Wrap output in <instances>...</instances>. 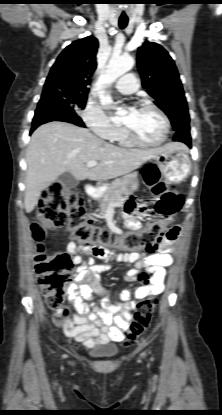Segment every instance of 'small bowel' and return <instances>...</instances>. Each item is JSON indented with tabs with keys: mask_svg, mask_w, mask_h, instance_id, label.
<instances>
[{
	"mask_svg": "<svg viewBox=\"0 0 222 415\" xmlns=\"http://www.w3.org/2000/svg\"><path fill=\"white\" fill-rule=\"evenodd\" d=\"M126 213L127 226L138 229L140 223L133 217V204L126 207ZM180 232L179 225L170 228L158 245L157 253L107 254V258L131 266L125 274L128 283L135 282L143 273L148 275V281L135 289L126 288L118 293H107L100 306L93 301L94 292L101 291L96 283L97 277L100 273L108 271L111 266L95 263V258L99 254L69 242L67 251L73 255L78 267L74 274V282L68 288L69 304L54 312V323L61 328L65 336L88 348L123 341L131 312L135 308L134 299L157 296L163 292L166 268L173 263L170 255L172 244ZM86 254L92 256L84 262L83 257ZM71 307L76 311L72 317L69 316Z\"/></svg>",
	"mask_w": 222,
	"mask_h": 415,
	"instance_id": "c3829d8e",
	"label": "small bowel"
}]
</instances>
